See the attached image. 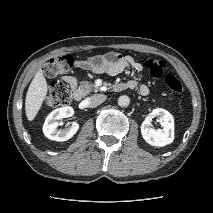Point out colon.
Wrapping results in <instances>:
<instances>
[{
    "label": "colon",
    "instance_id": "1",
    "mask_svg": "<svg viewBox=\"0 0 213 213\" xmlns=\"http://www.w3.org/2000/svg\"><path fill=\"white\" fill-rule=\"evenodd\" d=\"M73 65L74 56L72 54H65L50 59L44 67V72L48 77L53 78L69 71ZM145 66L153 77L159 78L164 73L166 62L162 59L150 58L146 61ZM164 84L174 94H181L183 91L181 82L173 75H166L164 77ZM70 102L71 96L67 88L59 81H52L49 84L46 104L49 107L57 108L66 106Z\"/></svg>",
    "mask_w": 213,
    "mask_h": 213
}]
</instances>
